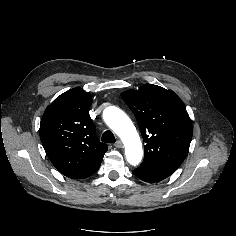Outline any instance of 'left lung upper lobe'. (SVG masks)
<instances>
[{"mask_svg": "<svg viewBox=\"0 0 236 236\" xmlns=\"http://www.w3.org/2000/svg\"><path fill=\"white\" fill-rule=\"evenodd\" d=\"M121 96L134 113L146 143L142 164L172 175L185 160L193 134L183 101L172 90L152 84Z\"/></svg>", "mask_w": 236, "mask_h": 236, "instance_id": "5c2ea615", "label": "left lung upper lobe"}]
</instances>
